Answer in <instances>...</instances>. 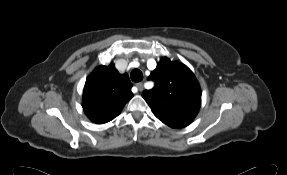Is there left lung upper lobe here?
Returning a JSON list of instances; mask_svg holds the SVG:
<instances>
[{
    "mask_svg": "<svg viewBox=\"0 0 287 175\" xmlns=\"http://www.w3.org/2000/svg\"><path fill=\"white\" fill-rule=\"evenodd\" d=\"M148 79L155 82V87L145 90L142 96L154 115L172 128L188 126L201 105V89L192 71L164 57Z\"/></svg>",
    "mask_w": 287,
    "mask_h": 175,
    "instance_id": "left-lung-upper-lobe-1",
    "label": "left lung upper lobe"
}]
</instances>
